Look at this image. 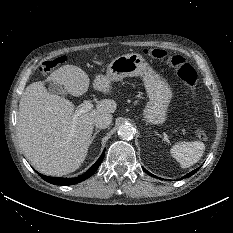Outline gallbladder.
<instances>
[{
	"label": "gallbladder",
	"instance_id": "obj_1",
	"mask_svg": "<svg viewBox=\"0 0 233 233\" xmlns=\"http://www.w3.org/2000/svg\"><path fill=\"white\" fill-rule=\"evenodd\" d=\"M48 90L50 93L56 94V95H65L66 94L65 89L57 83H50Z\"/></svg>",
	"mask_w": 233,
	"mask_h": 233
}]
</instances>
